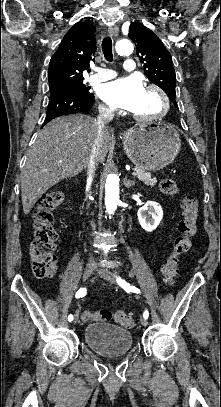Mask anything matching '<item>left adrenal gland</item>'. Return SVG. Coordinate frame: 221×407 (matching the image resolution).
<instances>
[{"mask_svg":"<svg viewBox=\"0 0 221 407\" xmlns=\"http://www.w3.org/2000/svg\"><path fill=\"white\" fill-rule=\"evenodd\" d=\"M124 185L126 188H130L135 185V182L133 180H128L127 177L124 178Z\"/></svg>","mask_w":221,"mask_h":407,"instance_id":"1","label":"left adrenal gland"}]
</instances>
